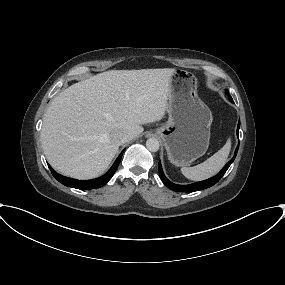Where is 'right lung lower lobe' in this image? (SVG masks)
<instances>
[{
	"label": "right lung lower lobe",
	"mask_w": 285,
	"mask_h": 285,
	"mask_svg": "<svg viewBox=\"0 0 285 285\" xmlns=\"http://www.w3.org/2000/svg\"><path fill=\"white\" fill-rule=\"evenodd\" d=\"M122 155H123V151L118 156L115 163L112 165V167L109 169V171L106 174H104L103 176L99 178L92 179V180L82 181V180L71 179V178L58 174L51 168V166L49 165L48 166L52 172V175L55 177V179H57L63 185L72 187V188L81 189V190H89V189H95V188L102 187L112 178V176L114 175L115 171L118 168Z\"/></svg>",
	"instance_id": "obj_1"
}]
</instances>
